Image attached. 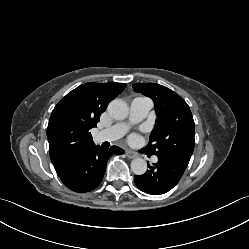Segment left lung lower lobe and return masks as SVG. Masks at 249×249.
Segmentation results:
<instances>
[{"label":"left lung lower lobe","instance_id":"1","mask_svg":"<svg viewBox=\"0 0 249 249\" xmlns=\"http://www.w3.org/2000/svg\"><path fill=\"white\" fill-rule=\"evenodd\" d=\"M158 162L154 166L148 164L149 170L143 175H135L137 187L151 195H160L171 190L181 179L188 163L176 158L156 155Z\"/></svg>","mask_w":249,"mask_h":249}]
</instances>
